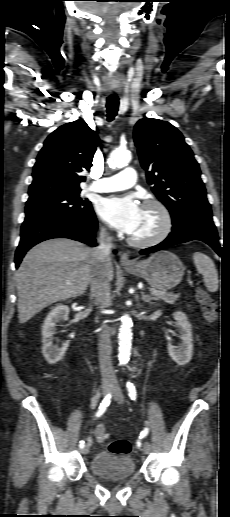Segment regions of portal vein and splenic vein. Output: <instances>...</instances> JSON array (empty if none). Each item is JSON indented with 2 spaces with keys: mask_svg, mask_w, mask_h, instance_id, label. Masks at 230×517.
<instances>
[{
  "mask_svg": "<svg viewBox=\"0 0 230 517\" xmlns=\"http://www.w3.org/2000/svg\"><path fill=\"white\" fill-rule=\"evenodd\" d=\"M161 294H163V291H157V290L152 291V295L156 296V295H161Z\"/></svg>",
  "mask_w": 230,
  "mask_h": 517,
  "instance_id": "portal-vein-and-splenic-vein-1",
  "label": "portal vein and splenic vein"
}]
</instances>
